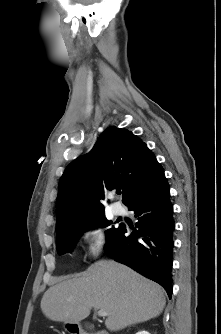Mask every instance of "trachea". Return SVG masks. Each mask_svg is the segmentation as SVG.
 Wrapping results in <instances>:
<instances>
[{"mask_svg": "<svg viewBox=\"0 0 221 334\" xmlns=\"http://www.w3.org/2000/svg\"><path fill=\"white\" fill-rule=\"evenodd\" d=\"M117 194H121V191H117Z\"/></svg>", "mask_w": 221, "mask_h": 334, "instance_id": "3493384b", "label": "trachea"}]
</instances>
